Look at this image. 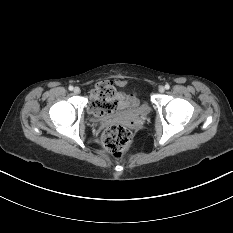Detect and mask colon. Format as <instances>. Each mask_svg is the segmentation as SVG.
Masks as SVG:
<instances>
[{
    "label": "colon",
    "mask_w": 233,
    "mask_h": 233,
    "mask_svg": "<svg viewBox=\"0 0 233 233\" xmlns=\"http://www.w3.org/2000/svg\"><path fill=\"white\" fill-rule=\"evenodd\" d=\"M91 108L100 115L112 113L118 108L117 94L111 83L101 82L97 85ZM131 138L132 134L128 127L114 123L104 130L101 140L106 151L119 158L128 149Z\"/></svg>",
    "instance_id": "colon-1"
}]
</instances>
